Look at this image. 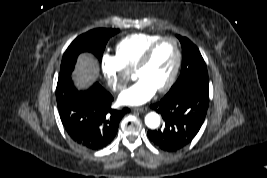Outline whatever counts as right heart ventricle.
<instances>
[{
  "mask_svg": "<svg viewBox=\"0 0 267 178\" xmlns=\"http://www.w3.org/2000/svg\"><path fill=\"white\" fill-rule=\"evenodd\" d=\"M161 37L151 33L128 35L117 43L116 57L128 71H133L147 48Z\"/></svg>",
  "mask_w": 267,
  "mask_h": 178,
  "instance_id": "e07e8e85",
  "label": "right heart ventricle"
}]
</instances>
